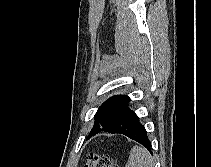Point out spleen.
<instances>
[{
    "instance_id": "3e777b00",
    "label": "spleen",
    "mask_w": 211,
    "mask_h": 167,
    "mask_svg": "<svg viewBox=\"0 0 211 167\" xmlns=\"http://www.w3.org/2000/svg\"><path fill=\"white\" fill-rule=\"evenodd\" d=\"M125 167H154L151 154L141 146H134Z\"/></svg>"
}]
</instances>
